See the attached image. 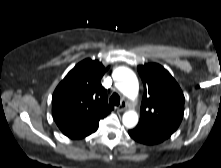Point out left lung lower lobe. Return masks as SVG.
<instances>
[{"instance_id": "0a47b994", "label": "left lung lower lobe", "mask_w": 221, "mask_h": 168, "mask_svg": "<svg viewBox=\"0 0 221 168\" xmlns=\"http://www.w3.org/2000/svg\"><path fill=\"white\" fill-rule=\"evenodd\" d=\"M131 138H133L135 141L140 142L142 144L146 145H153L157 143H161L165 140V138L140 129H132L128 131Z\"/></svg>"}]
</instances>
